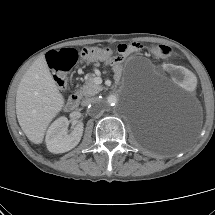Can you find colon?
I'll return each instance as SVG.
<instances>
[{
    "label": "colon",
    "instance_id": "colon-1",
    "mask_svg": "<svg viewBox=\"0 0 215 215\" xmlns=\"http://www.w3.org/2000/svg\"><path fill=\"white\" fill-rule=\"evenodd\" d=\"M137 48L136 43L121 44L118 46V53L121 55L135 51ZM153 53L157 57L167 58L173 55L172 50L164 45H157L153 47ZM80 55L85 59H98L104 61L113 60L112 50L109 48L100 47H86L80 52ZM78 59V52L75 49L66 48L60 51H50L46 55V60L49 68L51 69L54 80L58 87L64 88L66 85V74L73 67ZM177 59L185 63L186 59L181 55Z\"/></svg>",
    "mask_w": 215,
    "mask_h": 215
}]
</instances>
